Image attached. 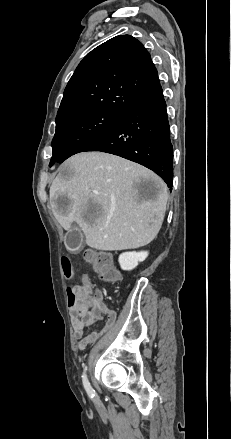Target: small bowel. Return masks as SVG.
Here are the masks:
<instances>
[{
	"label": "small bowel",
	"mask_w": 231,
	"mask_h": 439,
	"mask_svg": "<svg viewBox=\"0 0 231 439\" xmlns=\"http://www.w3.org/2000/svg\"><path fill=\"white\" fill-rule=\"evenodd\" d=\"M71 290L72 294H78L79 306L76 309L71 308V294H68L69 313L77 347L79 350H84L87 345L95 342L103 331L109 329L115 323L116 312L104 304L102 293L95 289L87 279H84L82 284L73 286ZM103 314L106 315L103 330L85 334L86 329L100 321Z\"/></svg>",
	"instance_id": "1"
}]
</instances>
